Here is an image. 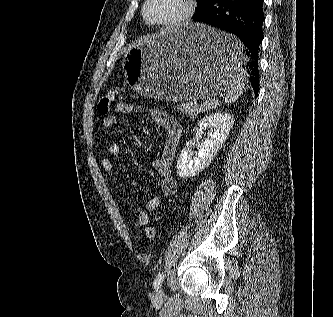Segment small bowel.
I'll return each instance as SVG.
<instances>
[{"label": "small bowel", "instance_id": "small-bowel-1", "mask_svg": "<svg viewBox=\"0 0 333 317\" xmlns=\"http://www.w3.org/2000/svg\"><path fill=\"white\" fill-rule=\"evenodd\" d=\"M136 110H142L131 103L122 102L116 106V114H110L103 118L102 127L109 129L118 123L117 114H129ZM150 115L167 132V139L164 143L160 156L153 162L154 170L160 176V191L165 196H172L177 192V181L175 180L171 165L178 147L181 129L179 124L166 112L159 109H150ZM121 152L118 143H111L108 146V153L111 157H117ZM102 168L110 175H114L115 167L109 157L101 161ZM161 203L160 196L151 197L144 205L143 210L135 215L134 226L141 228L148 224L149 213L155 211Z\"/></svg>", "mask_w": 333, "mask_h": 317}]
</instances>
